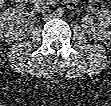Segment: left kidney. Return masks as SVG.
<instances>
[{
	"label": "left kidney",
	"instance_id": "left-kidney-1",
	"mask_svg": "<svg viewBox=\"0 0 111 106\" xmlns=\"http://www.w3.org/2000/svg\"><path fill=\"white\" fill-rule=\"evenodd\" d=\"M85 30L93 39L111 38V10L101 8L98 11V24L94 22H85Z\"/></svg>",
	"mask_w": 111,
	"mask_h": 106
}]
</instances>
